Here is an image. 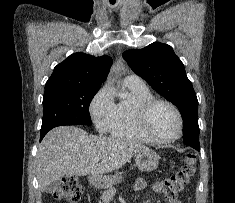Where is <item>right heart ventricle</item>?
Here are the masks:
<instances>
[{
  "label": "right heart ventricle",
  "mask_w": 235,
  "mask_h": 203,
  "mask_svg": "<svg viewBox=\"0 0 235 203\" xmlns=\"http://www.w3.org/2000/svg\"><path fill=\"white\" fill-rule=\"evenodd\" d=\"M123 86L129 92L130 97L115 104L108 132L114 138L150 143L151 141L138 128L136 106L153 98V95L146 86H135L127 83H124Z\"/></svg>",
  "instance_id": "e07e8e85"
}]
</instances>
